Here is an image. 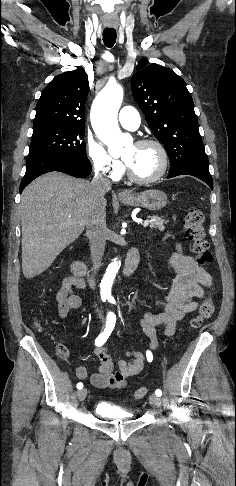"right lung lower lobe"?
I'll return each mask as SVG.
<instances>
[{
  "instance_id": "98d812e1",
  "label": "right lung lower lobe",
  "mask_w": 236,
  "mask_h": 486,
  "mask_svg": "<svg viewBox=\"0 0 236 486\" xmlns=\"http://www.w3.org/2000/svg\"><path fill=\"white\" fill-rule=\"evenodd\" d=\"M51 171H59L74 177L84 178L91 173L92 167L87 158L54 155H36L28 157L26 173L20 184V193L35 178Z\"/></svg>"
}]
</instances>
